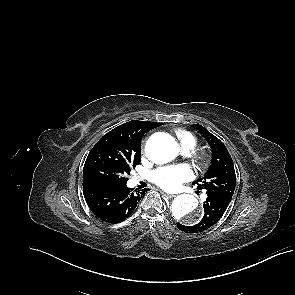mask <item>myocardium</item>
Returning a JSON list of instances; mask_svg holds the SVG:
<instances>
[{"mask_svg":"<svg viewBox=\"0 0 295 295\" xmlns=\"http://www.w3.org/2000/svg\"><path fill=\"white\" fill-rule=\"evenodd\" d=\"M197 160L200 163L201 166H205L207 163V158L205 156V154H200L197 156Z\"/></svg>","mask_w":295,"mask_h":295,"instance_id":"myocardium-1","label":"myocardium"}]
</instances>
